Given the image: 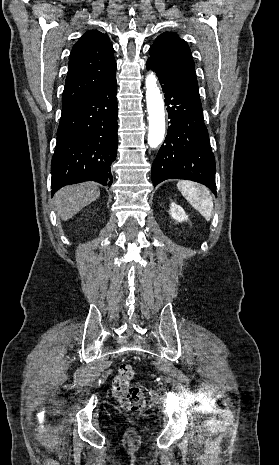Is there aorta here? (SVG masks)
I'll list each match as a JSON object with an SVG mask.
<instances>
[{"mask_svg":"<svg viewBox=\"0 0 279 465\" xmlns=\"http://www.w3.org/2000/svg\"><path fill=\"white\" fill-rule=\"evenodd\" d=\"M146 103L149 120L148 144L151 148L162 143L165 134L164 101L151 72L146 77Z\"/></svg>","mask_w":279,"mask_h":465,"instance_id":"aorta-1","label":"aorta"}]
</instances>
